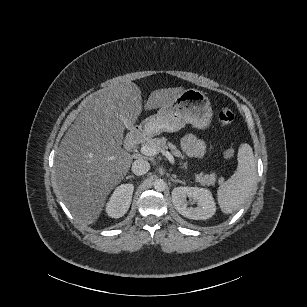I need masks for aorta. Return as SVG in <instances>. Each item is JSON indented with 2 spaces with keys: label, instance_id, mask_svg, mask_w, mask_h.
<instances>
[{
  "label": "aorta",
  "instance_id": "1",
  "mask_svg": "<svg viewBox=\"0 0 307 307\" xmlns=\"http://www.w3.org/2000/svg\"><path fill=\"white\" fill-rule=\"evenodd\" d=\"M166 187V181L162 178H158L154 181V188L157 191H163Z\"/></svg>",
  "mask_w": 307,
  "mask_h": 307
}]
</instances>
